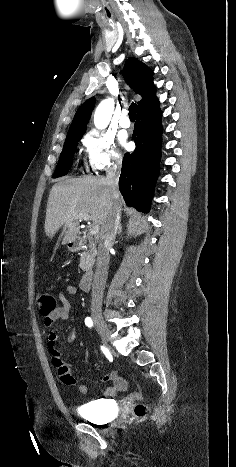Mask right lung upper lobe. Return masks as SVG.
Instances as JSON below:
<instances>
[{"instance_id":"1","label":"right lung upper lobe","mask_w":236,"mask_h":467,"mask_svg":"<svg viewBox=\"0 0 236 467\" xmlns=\"http://www.w3.org/2000/svg\"><path fill=\"white\" fill-rule=\"evenodd\" d=\"M123 75L130 87L142 96V100L138 102V111L157 100L153 72L144 63L134 57L129 58L124 65ZM94 105L95 98L92 97L80 106L67 135L86 131V124L89 122Z\"/></svg>"}]
</instances>
